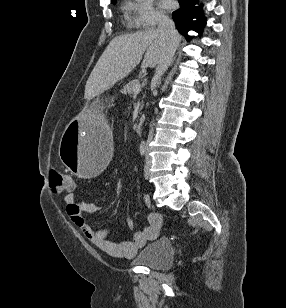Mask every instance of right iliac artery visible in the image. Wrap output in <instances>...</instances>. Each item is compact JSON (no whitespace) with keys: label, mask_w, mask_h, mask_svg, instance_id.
Listing matches in <instances>:
<instances>
[{"label":"right iliac artery","mask_w":286,"mask_h":308,"mask_svg":"<svg viewBox=\"0 0 286 308\" xmlns=\"http://www.w3.org/2000/svg\"><path fill=\"white\" fill-rule=\"evenodd\" d=\"M146 153H147V147L146 146H140V154H141V156H145L146 155ZM153 206V205H152ZM152 208H154V207H152ZM156 210V209H155Z\"/></svg>","instance_id":"1"}]
</instances>
